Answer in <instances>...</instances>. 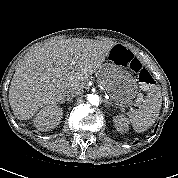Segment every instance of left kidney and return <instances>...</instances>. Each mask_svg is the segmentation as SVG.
Here are the masks:
<instances>
[{"instance_id":"5707ae66","label":"left kidney","mask_w":178,"mask_h":178,"mask_svg":"<svg viewBox=\"0 0 178 178\" xmlns=\"http://www.w3.org/2000/svg\"><path fill=\"white\" fill-rule=\"evenodd\" d=\"M113 123L117 131L125 132L129 129V121L123 115L113 117Z\"/></svg>"}]
</instances>
